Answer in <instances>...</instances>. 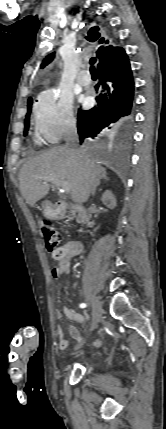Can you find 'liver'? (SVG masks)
<instances>
[{
  "instance_id": "1",
  "label": "liver",
  "mask_w": 166,
  "mask_h": 429,
  "mask_svg": "<svg viewBox=\"0 0 166 429\" xmlns=\"http://www.w3.org/2000/svg\"><path fill=\"white\" fill-rule=\"evenodd\" d=\"M106 174L99 160L84 151L57 146L29 158L20 170L19 188L29 206L45 197L50 189L47 179L70 183L71 198L82 204L101 177Z\"/></svg>"
}]
</instances>
